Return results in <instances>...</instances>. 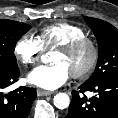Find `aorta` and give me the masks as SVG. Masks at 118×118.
Returning <instances> with one entry per match:
<instances>
[{
    "label": "aorta",
    "instance_id": "aorta-1",
    "mask_svg": "<svg viewBox=\"0 0 118 118\" xmlns=\"http://www.w3.org/2000/svg\"><path fill=\"white\" fill-rule=\"evenodd\" d=\"M43 61H45L44 58ZM53 102L55 107H57L58 109H66L69 107L70 98L66 93L60 92L54 96Z\"/></svg>",
    "mask_w": 118,
    "mask_h": 118
}]
</instances>
